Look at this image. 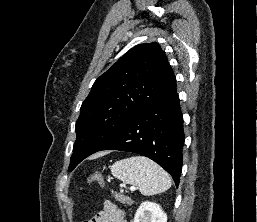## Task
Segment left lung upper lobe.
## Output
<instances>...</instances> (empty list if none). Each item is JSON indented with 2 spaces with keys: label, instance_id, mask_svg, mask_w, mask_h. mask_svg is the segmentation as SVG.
Wrapping results in <instances>:
<instances>
[{
  "label": "left lung upper lobe",
  "instance_id": "left-lung-upper-lobe-1",
  "mask_svg": "<svg viewBox=\"0 0 257 222\" xmlns=\"http://www.w3.org/2000/svg\"><path fill=\"white\" fill-rule=\"evenodd\" d=\"M175 76L165 52L153 42L125 53L94 82L76 121L77 141L69 171L99 151L138 115Z\"/></svg>",
  "mask_w": 257,
  "mask_h": 222
}]
</instances>
